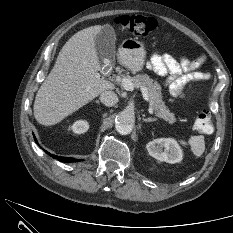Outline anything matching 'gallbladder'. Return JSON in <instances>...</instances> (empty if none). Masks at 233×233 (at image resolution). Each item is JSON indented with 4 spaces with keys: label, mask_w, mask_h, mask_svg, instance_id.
Returning <instances> with one entry per match:
<instances>
[{
    "label": "gallbladder",
    "mask_w": 233,
    "mask_h": 233,
    "mask_svg": "<svg viewBox=\"0 0 233 233\" xmlns=\"http://www.w3.org/2000/svg\"><path fill=\"white\" fill-rule=\"evenodd\" d=\"M115 41L116 36L114 29L110 25L102 26L94 39L96 54L100 62L115 57Z\"/></svg>",
    "instance_id": "gallbladder-1"
}]
</instances>
